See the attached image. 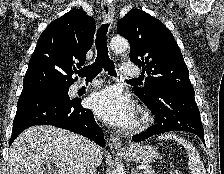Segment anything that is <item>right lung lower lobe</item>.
<instances>
[{"label": "right lung lower lobe", "instance_id": "obj_1", "mask_svg": "<svg viewBox=\"0 0 224 174\" xmlns=\"http://www.w3.org/2000/svg\"><path fill=\"white\" fill-rule=\"evenodd\" d=\"M35 125L64 128L105 146L103 131L96 124L93 113L83 108L80 100H70L68 90L64 88L21 93L9 145L23 130Z\"/></svg>", "mask_w": 224, "mask_h": 174}]
</instances>
